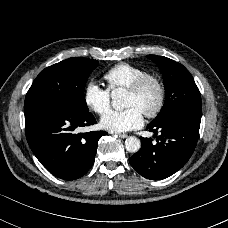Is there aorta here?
Returning <instances> with one entry per match:
<instances>
[{"mask_svg": "<svg viewBox=\"0 0 228 228\" xmlns=\"http://www.w3.org/2000/svg\"><path fill=\"white\" fill-rule=\"evenodd\" d=\"M128 95V90L124 87H117L111 90V106L116 111H122L125 108L124 99ZM125 148L130 153H136L140 150L141 142L135 137H128L125 140Z\"/></svg>", "mask_w": 228, "mask_h": 228, "instance_id": "aorta-1", "label": "aorta"}]
</instances>
